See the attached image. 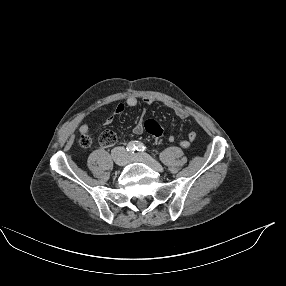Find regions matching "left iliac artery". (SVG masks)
<instances>
[{"instance_id":"obj_1","label":"left iliac artery","mask_w":286,"mask_h":286,"mask_svg":"<svg viewBox=\"0 0 286 286\" xmlns=\"http://www.w3.org/2000/svg\"><path fill=\"white\" fill-rule=\"evenodd\" d=\"M135 149L139 152H144L146 151V147L143 143L141 142H136V146H135Z\"/></svg>"}]
</instances>
